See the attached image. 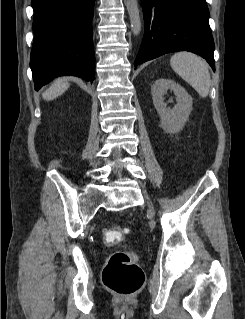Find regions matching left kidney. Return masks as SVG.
Masks as SVG:
<instances>
[{
    "label": "left kidney",
    "instance_id": "left-kidney-1",
    "mask_svg": "<svg viewBox=\"0 0 245 319\" xmlns=\"http://www.w3.org/2000/svg\"><path fill=\"white\" fill-rule=\"evenodd\" d=\"M168 90L174 92L177 104L173 108L167 107L164 95ZM154 107L161 118L163 129L170 134L182 130L192 111V97L178 83L171 79H158L151 87Z\"/></svg>",
    "mask_w": 245,
    "mask_h": 319
}]
</instances>
